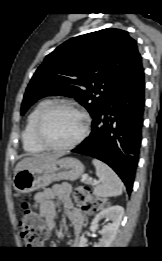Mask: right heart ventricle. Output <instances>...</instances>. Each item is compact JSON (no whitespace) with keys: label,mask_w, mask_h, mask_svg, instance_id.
I'll list each match as a JSON object with an SVG mask.
<instances>
[{"label":"right heart ventricle","mask_w":162,"mask_h":261,"mask_svg":"<svg viewBox=\"0 0 162 261\" xmlns=\"http://www.w3.org/2000/svg\"><path fill=\"white\" fill-rule=\"evenodd\" d=\"M51 103L52 101L48 99L40 101L27 117L26 125L22 133V141L24 150L28 153L38 154L45 151L36 140L35 126L40 113Z\"/></svg>","instance_id":"e07e8e85"}]
</instances>
